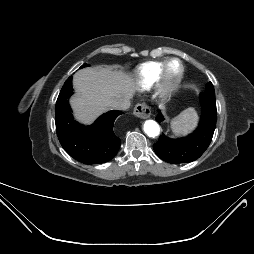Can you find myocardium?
<instances>
[{
	"label": "myocardium",
	"mask_w": 254,
	"mask_h": 254,
	"mask_svg": "<svg viewBox=\"0 0 254 254\" xmlns=\"http://www.w3.org/2000/svg\"><path fill=\"white\" fill-rule=\"evenodd\" d=\"M173 63H177L179 65V70L176 76L171 77L169 75V68L171 66V64ZM184 65L183 63L177 59V58H170L168 59L160 72V76H159V81H158V90L159 93L163 96V97H169L172 94H174L177 89L179 88L183 77H184Z\"/></svg>",
	"instance_id": "myocardium-1"
}]
</instances>
